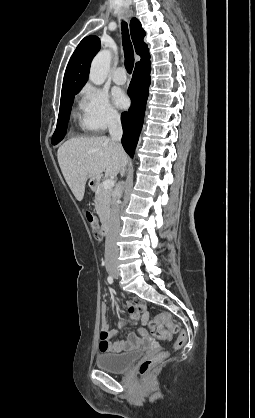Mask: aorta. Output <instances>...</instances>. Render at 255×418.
Segmentation results:
<instances>
[{
    "label": "aorta",
    "instance_id": "762f6f07",
    "mask_svg": "<svg viewBox=\"0 0 255 418\" xmlns=\"http://www.w3.org/2000/svg\"><path fill=\"white\" fill-rule=\"evenodd\" d=\"M111 63V53L108 50L100 51L92 60L89 80L95 85H102L108 75Z\"/></svg>",
    "mask_w": 255,
    "mask_h": 418
}]
</instances>
